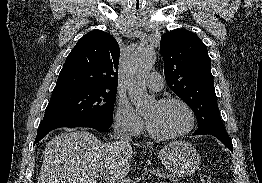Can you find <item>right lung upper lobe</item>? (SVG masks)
Listing matches in <instances>:
<instances>
[{
	"mask_svg": "<svg viewBox=\"0 0 262 183\" xmlns=\"http://www.w3.org/2000/svg\"><path fill=\"white\" fill-rule=\"evenodd\" d=\"M120 48L110 34L93 30L83 36L68 55L53 92L82 89H115L118 85Z\"/></svg>",
	"mask_w": 262,
	"mask_h": 183,
	"instance_id": "1",
	"label": "right lung upper lobe"
}]
</instances>
